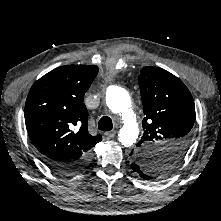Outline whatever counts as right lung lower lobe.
Segmentation results:
<instances>
[{
    "label": "right lung lower lobe",
    "mask_w": 221,
    "mask_h": 221,
    "mask_svg": "<svg viewBox=\"0 0 221 221\" xmlns=\"http://www.w3.org/2000/svg\"><path fill=\"white\" fill-rule=\"evenodd\" d=\"M44 162L53 170L60 174L69 175L81 171L90 164V156H86L76 162H56L52 160L43 159Z\"/></svg>",
    "instance_id": "right-lung-lower-lobe-1"
}]
</instances>
